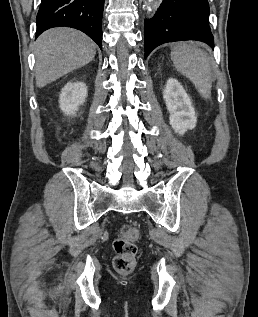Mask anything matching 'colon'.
Segmentation results:
<instances>
[{"mask_svg":"<svg viewBox=\"0 0 258 317\" xmlns=\"http://www.w3.org/2000/svg\"><path fill=\"white\" fill-rule=\"evenodd\" d=\"M139 237L140 230L136 225L126 224L121 227L113 243L115 251L113 265L117 271L129 272L135 267Z\"/></svg>","mask_w":258,"mask_h":317,"instance_id":"colon-1","label":"colon"}]
</instances>
